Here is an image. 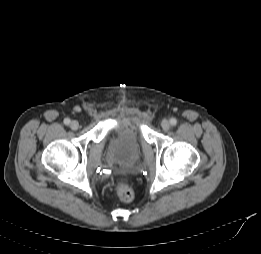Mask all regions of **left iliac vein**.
I'll use <instances>...</instances> for the list:
<instances>
[{"label": "left iliac vein", "mask_w": 261, "mask_h": 254, "mask_svg": "<svg viewBox=\"0 0 261 254\" xmlns=\"http://www.w3.org/2000/svg\"><path fill=\"white\" fill-rule=\"evenodd\" d=\"M161 127L165 131L169 130L170 127H171L170 122L168 120H166V119L162 120Z\"/></svg>", "instance_id": "4c4485c4"}]
</instances>
